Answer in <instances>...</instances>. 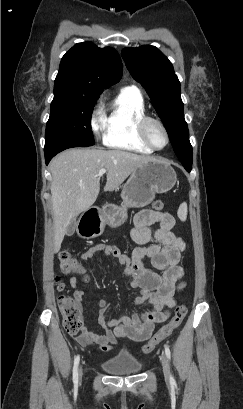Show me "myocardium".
<instances>
[{
  "label": "myocardium",
  "mask_w": 243,
  "mask_h": 409,
  "mask_svg": "<svg viewBox=\"0 0 243 409\" xmlns=\"http://www.w3.org/2000/svg\"><path fill=\"white\" fill-rule=\"evenodd\" d=\"M151 123L157 124L163 130V132L165 134L166 143L161 148L156 147L152 143V141H151V139L149 137L148 126ZM138 131H139V135H140L141 139L143 140V142L154 151H162V150L166 149L168 147L169 143H170V136H169L168 129L165 126V124L158 118L148 116V115L143 116L138 122Z\"/></svg>",
  "instance_id": "myocardium-1"
}]
</instances>
